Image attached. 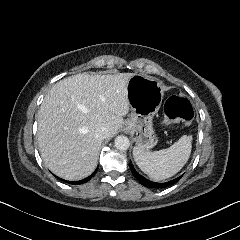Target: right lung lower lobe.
<instances>
[{
	"mask_svg": "<svg viewBox=\"0 0 240 240\" xmlns=\"http://www.w3.org/2000/svg\"><path fill=\"white\" fill-rule=\"evenodd\" d=\"M96 171H97V169L89 177H87L83 180L77 181V182H70V181H66V180H63V181H65L67 183H71V184H83V183H86L87 181H89L95 175Z\"/></svg>",
	"mask_w": 240,
	"mask_h": 240,
	"instance_id": "obj_1",
	"label": "right lung lower lobe"
}]
</instances>
